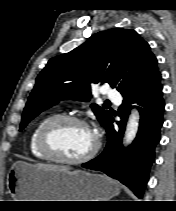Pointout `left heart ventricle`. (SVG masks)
Listing matches in <instances>:
<instances>
[{
    "label": "left heart ventricle",
    "instance_id": "left-heart-ventricle-1",
    "mask_svg": "<svg viewBox=\"0 0 176 211\" xmlns=\"http://www.w3.org/2000/svg\"><path fill=\"white\" fill-rule=\"evenodd\" d=\"M53 147L66 158H78L92 147V133L81 125L63 123L55 127L50 134Z\"/></svg>",
    "mask_w": 176,
    "mask_h": 211
}]
</instances>
